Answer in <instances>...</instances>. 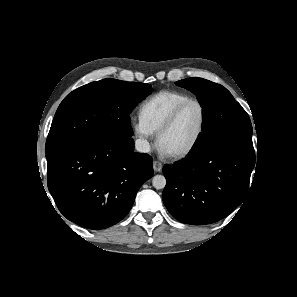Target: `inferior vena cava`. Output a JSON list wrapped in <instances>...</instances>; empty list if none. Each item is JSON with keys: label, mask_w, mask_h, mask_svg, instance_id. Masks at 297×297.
<instances>
[{"label": "inferior vena cava", "mask_w": 297, "mask_h": 297, "mask_svg": "<svg viewBox=\"0 0 297 297\" xmlns=\"http://www.w3.org/2000/svg\"><path fill=\"white\" fill-rule=\"evenodd\" d=\"M135 148L138 152L141 153L150 152V144L146 139H137L135 141Z\"/></svg>", "instance_id": "1"}]
</instances>
